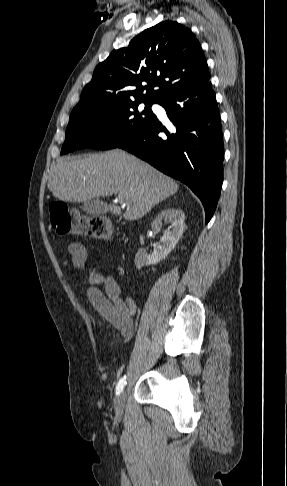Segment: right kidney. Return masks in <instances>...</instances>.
Here are the masks:
<instances>
[{
  "mask_svg": "<svg viewBox=\"0 0 287 486\" xmlns=\"http://www.w3.org/2000/svg\"><path fill=\"white\" fill-rule=\"evenodd\" d=\"M185 215L180 209L168 208L162 210L151 223L153 230H160L162 223H171V226L166 230L160 240V244L154 249L151 255L143 249H139L135 256V265L137 269H141L144 265L157 264L167 257V255L175 248L177 242L181 238L184 231Z\"/></svg>",
  "mask_w": 287,
  "mask_h": 486,
  "instance_id": "1",
  "label": "right kidney"
}]
</instances>
